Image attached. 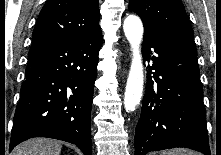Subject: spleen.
<instances>
[{"instance_id": "spleen-1", "label": "spleen", "mask_w": 221, "mask_h": 155, "mask_svg": "<svg viewBox=\"0 0 221 155\" xmlns=\"http://www.w3.org/2000/svg\"><path fill=\"white\" fill-rule=\"evenodd\" d=\"M163 155H197V153H195L191 150L178 148V149H172V150L165 151L163 153Z\"/></svg>"}]
</instances>
